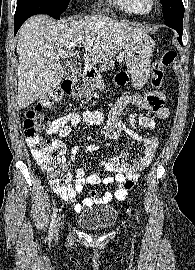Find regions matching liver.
<instances>
[{
	"instance_id": "6515ba94",
	"label": "liver",
	"mask_w": 195,
	"mask_h": 270,
	"mask_svg": "<svg viewBox=\"0 0 195 270\" xmlns=\"http://www.w3.org/2000/svg\"><path fill=\"white\" fill-rule=\"evenodd\" d=\"M143 34L142 28L104 15L62 23L47 15L31 17L17 35L19 108H26L61 83L64 67L59 59L79 54L78 39H83L85 58L94 63L108 61L133 36Z\"/></svg>"
}]
</instances>
